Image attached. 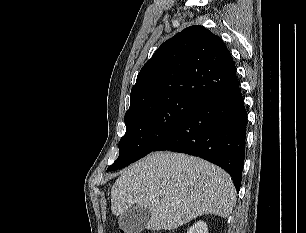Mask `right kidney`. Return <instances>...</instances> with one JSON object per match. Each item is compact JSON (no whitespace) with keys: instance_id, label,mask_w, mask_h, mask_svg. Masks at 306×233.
I'll list each match as a JSON object with an SVG mask.
<instances>
[{"instance_id":"ca27d5eb","label":"right kidney","mask_w":306,"mask_h":233,"mask_svg":"<svg viewBox=\"0 0 306 233\" xmlns=\"http://www.w3.org/2000/svg\"><path fill=\"white\" fill-rule=\"evenodd\" d=\"M187 233H208L206 222L199 221L189 228Z\"/></svg>"}]
</instances>
